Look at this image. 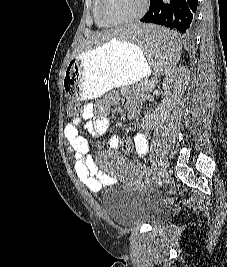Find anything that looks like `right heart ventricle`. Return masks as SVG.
Returning <instances> with one entry per match:
<instances>
[{
    "mask_svg": "<svg viewBox=\"0 0 227 267\" xmlns=\"http://www.w3.org/2000/svg\"><path fill=\"white\" fill-rule=\"evenodd\" d=\"M99 5H100V0H93L92 11H93V16H94L95 22L99 26H108L110 24H108L106 21H104L100 15Z\"/></svg>",
    "mask_w": 227,
    "mask_h": 267,
    "instance_id": "e07e8e85",
    "label": "right heart ventricle"
}]
</instances>
